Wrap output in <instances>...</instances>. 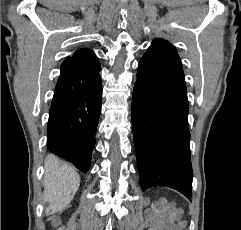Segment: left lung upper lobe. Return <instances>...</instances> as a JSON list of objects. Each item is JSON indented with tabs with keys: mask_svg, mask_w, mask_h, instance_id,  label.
Segmentation results:
<instances>
[{
	"mask_svg": "<svg viewBox=\"0 0 241 230\" xmlns=\"http://www.w3.org/2000/svg\"><path fill=\"white\" fill-rule=\"evenodd\" d=\"M145 54L161 58L164 61L182 68L181 60L175 47L163 39L158 38L153 40Z\"/></svg>",
	"mask_w": 241,
	"mask_h": 230,
	"instance_id": "left-lung-upper-lobe-1",
	"label": "left lung upper lobe"
}]
</instances>
